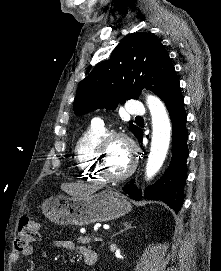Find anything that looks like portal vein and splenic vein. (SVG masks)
<instances>
[{
  "mask_svg": "<svg viewBox=\"0 0 221 271\" xmlns=\"http://www.w3.org/2000/svg\"><path fill=\"white\" fill-rule=\"evenodd\" d=\"M93 241L94 242H103V237H94Z\"/></svg>",
  "mask_w": 221,
  "mask_h": 271,
  "instance_id": "portal-vein-and-splenic-vein-1",
  "label": "portal vein and splenic vein"
}]
</instances>
